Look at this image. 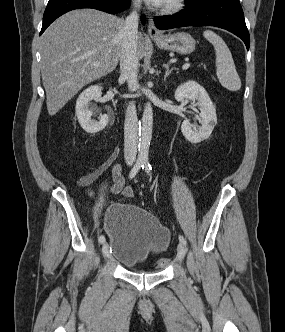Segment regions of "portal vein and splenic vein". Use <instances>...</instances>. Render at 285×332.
Masks as SVG:
<instances>
[{"mask_svg":"<svg viewBox=\"0 0 285 332\" xmlns=\"http://www.w3.org/2000/svg\"><path fill=\"white\" fill-rule=\"evenodd\" d=\"M95 66H99V64H94ZM190 67V64L189 63H185L184 65H183V70H186V69H188Z\"/></svg>","mask_w":285,"mask_h":332,"instance_id":"18ae733b","label":"portal vein and splenic vein"}]
</instances>
